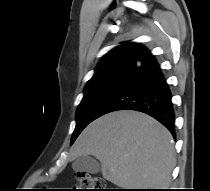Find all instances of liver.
<instances>
[{
    "instance_id": "obj_1",
    "label": "liver",
    "mask_w": 210,
    "mask_h": 191,
    "mask_svg": "<svg viewBox=\"0 0 210 191\" xmlns=\"http://www.w3.org/2000/svg\"><path fill=\"white\" fill-rule=\"evenodd\" d=\"M93 155L103 177L124 189L169 187L175 166L170 132L152 117L121 110L91 122L76 140L69 160Z\"/></svg>"
}]
</instances>
